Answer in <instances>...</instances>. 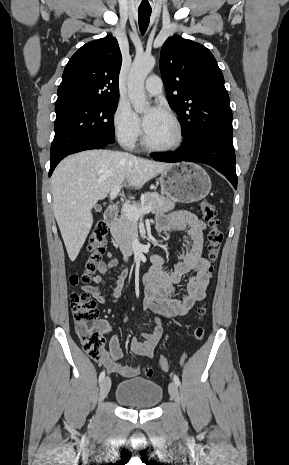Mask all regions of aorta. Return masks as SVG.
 I'll use <instances>...</instances> for the list:
<instances>
[{
  "mask_svg": "<svg viewBox=\"0 0 289 465\" xmlns=\"http://www.w3.org/2000/svg\"><path fill=\"white\" fill-rule=\"evenodd\" d=\"M155 66L152 56L136 57L130 69L127 87L131 103L136 112H143L149 106L146 99L144 81Z\"/></svg>",
  "mask_w": 289,
  "mask_h": 465,
  "instance_id": "762f6f07",
  "label": "aorta"
}]
</instances>
